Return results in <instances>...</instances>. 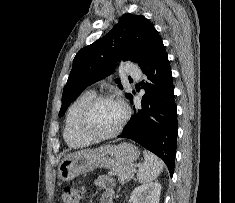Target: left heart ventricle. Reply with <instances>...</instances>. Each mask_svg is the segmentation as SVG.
Instances as JSON below:
<instances>
[{
    "mask_svg": "<svg viewBox=\"0 0 235 203\" xmlns=\"http://www.w3.org/2000/svg\"><path fill=\"white\" fill-rule=\"evenodd\" d=\"M123 117V108L118 102L104 101L97 104L92 110L88 127L99 134L114 130Z\"/></svg>",
    "mask_w": 235,
    "mask_h": 203,
    "instance_id": "left-heart-ventricle-1",
    "label": "left heart ventricle"
}]
</instances>
